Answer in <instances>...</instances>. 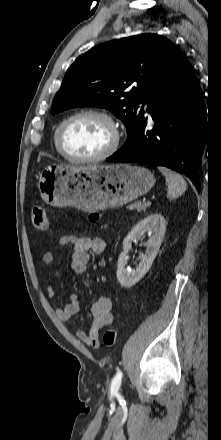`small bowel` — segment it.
<instances>
[{
  "label": "small bowel",
  "instance_id": "obj_1",
  "mask_svg": "<svg viewBox=\"0 0 221 440\" xmlns=\"http://www.w3.org/2000/svg\"><path fill=\"white\" fill-rule=\"evenodd\" d=\"M72 246V270L79 275L87 272V266L90 260L89 253L101 254L105 251L106 243L101 238H89L85 236L66 235L60 238L58 249ZM54 262V252L48 251L43 255V263L50 265ZM46 293L50 299L56 296V289L51 285H46ZM81 306L77 294L70 296V302L65 307L55 310L56 317L63 321H69L74 315L78 314ZM91 326L88 332L80 330L77 337L85 344L98 347L100 345L99 333L101 329L112 325L114 314L112 312V302L109 297L99 296L90 307Z\"/></svg>",
  "mask_w": 221,
  "mask_h": 440
}]
</instances>
